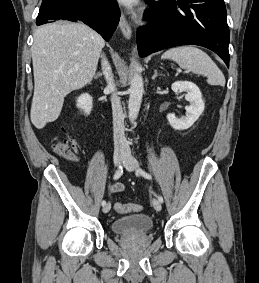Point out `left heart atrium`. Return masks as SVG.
<instances>
[{"instance_id": "39dd6f15", "label": "left heart atrium", "mask_w": 259, "mask_h": 283, "mask_svg": "<svg viewBox=\"0 0 259 283\" xmlns=\"http://www.w3.org/2000/svg\"><path fill=\"white\" fill-rule=\"evenodd\" d=\"M124 5H133L135 3V0H119Z\"/></svg>"}]
</instances>
